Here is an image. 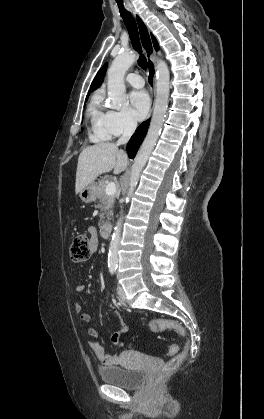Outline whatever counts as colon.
<instances>
[{
    "instance_id": "5ec220e1",
    "label": "colon",
    "mask_w": 264,
    "mask_h": 419,
    "mask_svg": "<svg viewBox=\"0 0 264 419\" xmlns=\"http://www.w3.org/2000/svg\"><path fill=\"white\" fill-rule=\"evenodd\" d=\"M91 253V243L90 239L85 234H78L74 237L71 248H70V255L73 261L75 262H83L86 261L90 257ZM149 328L153 332H159L163 330H175L182 336H186V331L184 328L176 321L168 320V319H154L149 322ZM179 347L177 344H172L169 349L168 353L173 355L171 359H169L163 369V374H169L173 372L185 359L188 351V345L182 352H178Z\"/></svg>"
}]
</instances>
